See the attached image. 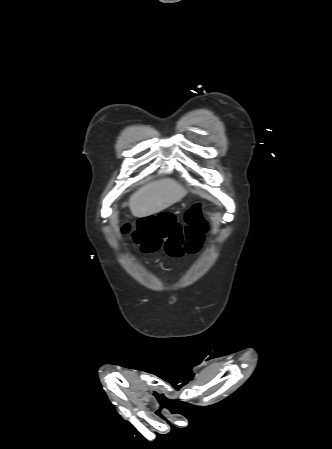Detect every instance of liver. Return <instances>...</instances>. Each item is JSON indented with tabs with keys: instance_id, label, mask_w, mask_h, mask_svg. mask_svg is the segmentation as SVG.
Returning a JSON list of instances; mask_svg holds the SVG:
<instances>
[{
	"instance_id": "obj_1",
	"label": "liver",
	"mask_w": 332,
	"mask_h": 449,
	"mask_svg": "<svg viewBox=\"0 0 332 449\" xmlns=\"http://www.w3.org/2000/svg\"><path fill=\"white\" fill-rule=\"evenodd\" d=\"M186 194V189L175 180L163 179L140 188L130 197L128 204L133 216L143 218L179 202Z\"/></svg>"
}]
</instances>
